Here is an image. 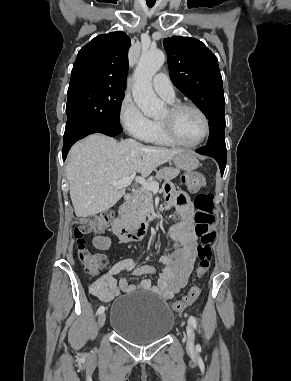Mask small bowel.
Returning a JSON list of instances; mask_svg holds the SVG:
<instances>
[{
  "mask_svg": "<svg viewBox=\"0 0 291 381\" xmlns=\"http://www.w3.org/2000/svg\"><path fill=\"white\" fill-rule=\"evenodd\" d=\"M166 191V200L171 205L175 200V192L170 187ZM177 211L182 221L172 226L169 232L174 247L162 255L158 267L147 264L136 267L130 258L120 260L91 283V293L104 303L110 302L121 293L138 290L152 292L165 300L172 299L187 284L197 257V243L192 225L193 207L184 202L177 205ZM93 245L104 250L109 246V239L96 236ZM122 271H132L136 276L158 274V281L156 285H152L149 279H142L137 284H131L126 279L117 282L115 277Z\"/></svg>",
  "mask_w": 291,
  "mask_h": 381,
  "instance_id": "small-bowel-1",
  "label": "small bowel"
}]
</instances>
